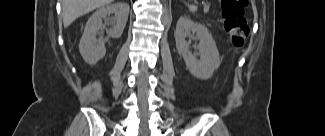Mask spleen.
Returning a JSON list of instances; mask_svg holds the SVG:
<instances>
[{
	"label": "spleen",
	"instance_id": "spleen-1",
	"mask_svg": "<svg viewBox=\"0 0 325 136\" xmlns=\"http://www.w3.org/2000/svg\"><path fill=\"white\" fill-rule=\"evenodd\" d=\"M188 8L190 11L195 12L197 10V7L194 5H188Z\"/></svg>",
	"mask_w": 325,
	"mask_h": 136
}]
</instances>
